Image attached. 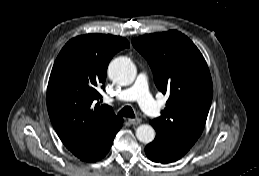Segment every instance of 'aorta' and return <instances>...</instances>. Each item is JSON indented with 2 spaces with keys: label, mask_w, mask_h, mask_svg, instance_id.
I'll use <instances>...</instances> for the list:
<instances>
[{
  "label": "aorta",
  "mask_w": 259,
  "mask_h": 176,
  "mask_svg": "<svg viewBox=\"0 0 259 176\" xmlns=\"http://www.w3.org/2000/svg\"><path fill=\"white\" fill-rule=\"evenodd\" d=\"M109 78L117 84L127 86L133 83L136 77V67L126 57H118L112 60L108 67ZM155 130L148 124H142L136 129L137 139L144 143H151L155 138Z\"/></svg>",
  "instance_id": "aorta-1"
}]
</instances>
